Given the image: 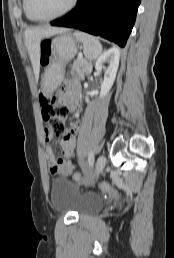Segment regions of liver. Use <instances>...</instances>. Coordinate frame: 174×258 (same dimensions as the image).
Here are the masks:
<instances>
[{
    "mask_svg": "<svg viewBox=\"0 0 174 258\" xmlns=\"http://www.w3.org/2000/svg\"><path fill=\"white\" fill-rule=\"evenodd\" d=\"M65 29L56 27H35L25 31V42L30 55L36 80L39 78L40 71V43L42 38L63 33Z\"/></svg>",
    "mask_w": 174,
    "mask_h": 258,
    "instance_id": "liver-1",
    "label": "liver"
}]
</instances>
